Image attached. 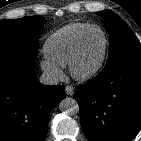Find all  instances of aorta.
<instances>
[{
    "label": "aorta",
    "instance_id": "obj_1",
    "mask_svg": "<svg viewBox=\"0 0 141 141\" xmlns=\"http://www.w3.org/2000/svg\"><path fill=\"white\" fill-rule=\"evenodd\" d=\"M59 109L66 115H75L79 112V105L73 98L66 97L59 103Z\"/></svg>",
    "mask_w": 141,
    "mask_h": 141
}]
</instances>
